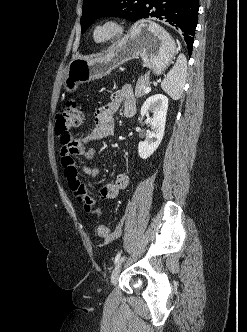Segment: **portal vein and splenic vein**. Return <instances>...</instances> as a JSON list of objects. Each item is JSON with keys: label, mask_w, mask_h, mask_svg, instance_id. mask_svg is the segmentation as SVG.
<instances>
[{"label": "portal vein and splenic vein", "mask_w": 247, "mask_h": 332, "mask_svg": "<svg viewBox=\"0 0 247 332\" xmlns=\"http://www.w3.org/2000/svg\"><path fill=\"white\" fill-rule=\"evenodd\" d=\"M150 91H151V87H149V86L146 87L145 90H144L145 93H148V92H150Z\"/></svg>", "instance_id": "18ae733b"}]
</instances>
